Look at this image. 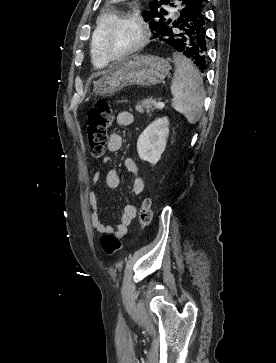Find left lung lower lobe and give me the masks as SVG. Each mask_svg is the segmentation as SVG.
Wrapping results in <instances>:
<instances>
[{"mask_svg": "<svg viewBox=\"0 0 276 363\" xmlns=\"http://www.w3.org/2000/svg\"><path fill=\"white\" fill-rule=\"evenodd\" d=\"M204 2L205 0H188L180 11V16L167 29H160L153 37L190 58L201 72H204L207 62Z\"/></svg>", "mask_w": 276, "mask_h": 363, "instance_id": "1", "label": "left lung lower lobe"}]
</instances>
